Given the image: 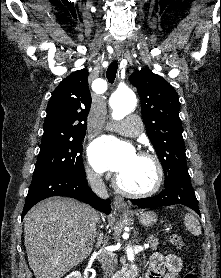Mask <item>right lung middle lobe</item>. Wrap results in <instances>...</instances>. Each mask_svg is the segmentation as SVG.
<instances>
[{
  "mask_svg": "<svg viewBox=\"0 0 221 278\" xmlns=\"http://www.w3.org/2000/svg\"><path fill=\"white\" fill-rule=\"evenodd\" d=\"M84 136L42 142L31 185L57 174H84L80 143Z\"/></svg>",
  "mask_w": 221,
  "mask_h": 278,
  "instance_id": "1",
  "label": "right lung middle lobe"
}]
</instances>
